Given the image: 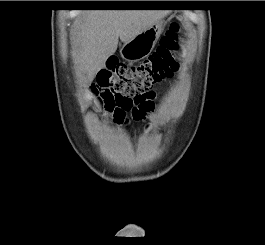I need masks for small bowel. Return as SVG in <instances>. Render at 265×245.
<instances>
[{
    "mask_svg": "<svg viewBox=\"0 0 265 245\" xmlns=\"http://www.w3.org/2000/svg\"><path fill=\"white\" fill-rule=\"evenodd\" d=\"M99 90L100 89H99V87L97 85H92L90 90H89V92H88V96L90 98H94V99L99 98V92H100ZM145 111L148 112L147 114H148V118L150 120L154 121V120L159 119V117H160L155 111L154 104H152L151 106L147 107Z\"/></svg>",
    "mask_w": 265,
    "mask_h": 245,
    "instance_id": "1",
    "label": "small bowel"
}]
</instances>
